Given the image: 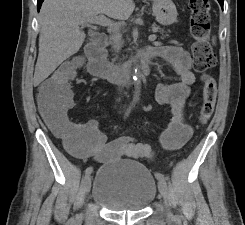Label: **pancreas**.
<instances>
[{
	"mask_svg": "<svg viewBox=\"0 0 245 225\" xmlns=\"http://www.w3.org/2000/svg\"><path fill=\"white\" fill-rule=\"evenodd\" d=\"M152 30H153L154 32H157V31H159V32H161V33L164 32L163 29H161L160 27H158V26H156V25H153V26H152Z\"/></svg>",
	"mask_w": 245,
	"mask_h": 225,
	"instance_id": "pancreas-1",
	"label": "pancreas"
}]
</instances>
